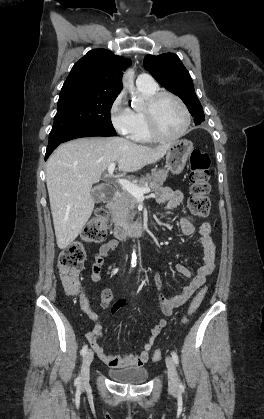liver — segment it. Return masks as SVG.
Segmentation results:
<instances>
[{
	"label": "liver",
	"instance_id": "obj_1",
	"mask_svg": "<svg viewBox=\"0 0 264 419\" xmlns=\"http://www.w3.org/2000/svg\"><path fill=\"white\" fill-rule=\"evenodd\" d=\"M169 148L170 144L151 148L121 137L80 138L60 145L46 167L58 247L67 248L82 231L95 205L92 185L111 163L118 162L119 171L135 172L159 161Z\"/></svg>",
	"mask_w": 264,
	"mask_h": 419
}]
</instances>
